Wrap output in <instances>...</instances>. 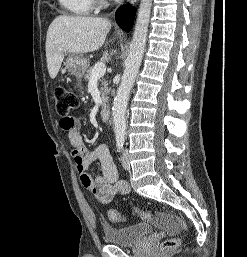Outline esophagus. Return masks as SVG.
<instances>
[{
  "label": "esophagus",
  "mask_w": 247,
  "mask_h": 257,
  "mask_svg": "<svg viewBox=\"0 0 247 257\" xmlns=\"http://www.w3.org/2000/svg\"><path fill=\"white\" fill-rule=\"evenodd\" d=\"M137 0H130V3L134 4Z\"/></svg>",
  "instance_id": "34e87169"
}]
</instances>
